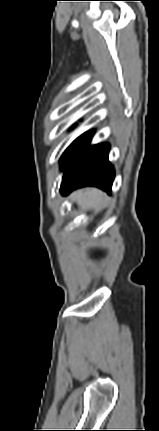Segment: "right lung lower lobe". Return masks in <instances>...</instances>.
Here are the masks:
<instances>
[{"instance_id": "1", "label": "right lung lower lobe", "mask_w": 159, "mask_h": 431, "mask_svg": "<svg viewBox=\"0 0 159 431\" xmlns=\"http://www.w3.org/2000/svg\"><path fill=\"white\" fill-rule=\"evenodd\" d=\"M93 134L89 131L78 137L60 159L64 170L60 190L64 195L83 186H96L111 193L115 171L108 160L110 145H90Z\"/></svg>"}]
</instances>
